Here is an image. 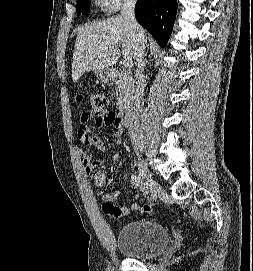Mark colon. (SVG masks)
Segmentation results:
<instances>
[{
  "mask_svg": "<svg viewBox=\"0 0 253 271\" xmlns=\"http://www.w3.org/2000/svg\"><path fill=\"white\" fill-rule=\"evenodd\" d=\"M77 99H78V101H81L83 99V97L79 96ZM90 103H91V106H92V113L93 114L101 115V114L105 113L107 100H106V97L103 94L92 93L90 95ZM107 117L110 120H115V115H114L113 112H107ZM104 206L105 207H110V205H108V204H106ZM133 209L139 210V211L144 212V213H152L153 212L152 207L150 205H148V204H144V205H141V206L134 205Z\"/></svg>",
  "mask_w": 253,
  "mask_h": 271,
  "instance_id": "5ec220e1",
  "label": "colon"
}]
</instances>
